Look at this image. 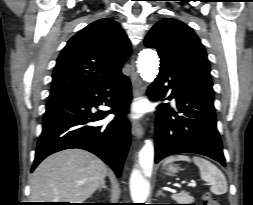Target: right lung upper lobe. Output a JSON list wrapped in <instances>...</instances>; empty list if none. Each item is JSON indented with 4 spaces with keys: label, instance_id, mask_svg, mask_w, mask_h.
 Returning <instances> with one entry per match:
<instances>
[{
    "label": "right lung upper lobe",
    "instance_id": "obj_1",
    "mask_svg": "<svg viewBox=\"0 0 253 205\" xmlns=\"http://www.w3.org/2000/svg\"><path fill=\"white\" fill-rule=\"evenodd\" d=\"M131 52L120 25L103 18L73 36L60 53L49 98L98 87L121 75Z\"/></svg>",
    "mask_w": 253,
    "mask_h": 205
}]
</instances>
